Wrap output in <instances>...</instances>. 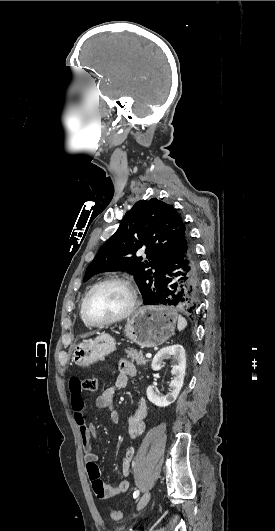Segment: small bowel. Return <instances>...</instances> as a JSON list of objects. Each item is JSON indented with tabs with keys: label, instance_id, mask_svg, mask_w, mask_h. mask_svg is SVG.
I'll return each instance as SVG.
<instances>
[{
	"label": "small bowel",
	"instance_id": "c3829d8e",
	"mask_svg": "<svg viewBox=\"0 0 275 531\" xmlns=\"http://www.w3.org/2000/svg\"><path fill=\"white\" fill-rule=\"evenodd\" d=\"M119 373L114 383L105 388L96 398V406L99 409L107 410L110 419L113 423L120 421V414L113 406L114 396L117 391L124 389L128 385L130 377L136 375V367L128 360L121 359L118 362ZM82 375L80 373H70L68 376L69 392L71 396V408L73 411L74 420L78 426L81 443L84 449V460L86 463V471L91 482V487L94 494L100 500H111L129 489V481L124 479L115 485L105 484L100 477V470L97 465L98 453L92 448V440H97L96 430L94 426L87 422L85 417V407L83 398L75 397L83 391ZM148 416V404L144 398L138 402L134 414L129 419L128 434L131 438H139L143 435L146 429V420ZM136 456L134 448L125 450L121 462V473L124 477H128L131 473V465Z\"/></svg>",
	"mask_w": 275,
	"mask_h": 531
}]
</instances>
